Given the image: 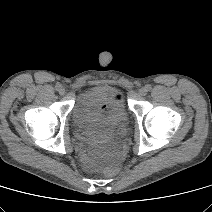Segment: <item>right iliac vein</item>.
<instances>
[{"label":"right iliac vein","instance_id":"right-iliac-vein-1","mask_svg":"<svg viewBox=\"0 0 212 212\" xmlns=\"http://www.w3.org/2000/svg\"><path fill=\"white\" fill-rule=\"evenodd\" d=\"M60 95H65V89L63 87H60V89L58 90Z\"/></svg>","mask_w":212,"mask_h":212}]
</instances>
